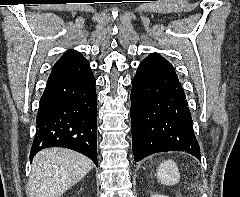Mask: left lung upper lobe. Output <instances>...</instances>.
Segmentation results:
<instances>
[{"mask_svg":"<svg viewBox=\"0 0 240 197\" xmlns=\"http://www.w3.org/2000/svg\"><path fill=\"white\" fill-rule=\"evenodd\" d=\"M140 66H143L148 69H167V70L171 69V70H173V66L157 53H153L150 56H148L147 58H145L141 62Z\"/></svg>","mask_w":240,"mask_h":197,"instance_id":"1","label":"left lung upper lobe"}]
</instances>
